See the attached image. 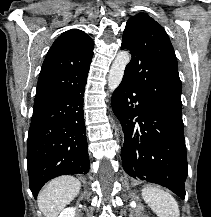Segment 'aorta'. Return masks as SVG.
Wrapping results in <instances>:
<instances>
[{"label":"aorta","instance_id":"aorta-1","mask_svg":"<svg viewBox=\"0 0 211 217\" xmlns=\"http://www.w3.org/2000/svg\"><path fill=\"white\" fill-rule=\"evenodd\" d=\"M131 55L126 51L117 54L108 76V88L113 92L121 83L125 67L130 62Z\"/></svg>","mask_w":211,"mask_h":217}]
</instances>
